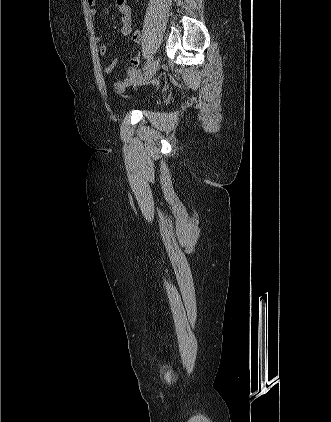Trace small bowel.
I'll use <instances>...</instances> for the list:
<instances>
[{
  "label": "small bowel",
  "instance_id": "1",
  "mask_svg": "<svg viewBox=\"0 0 331 422\" xmlns=\"http://www.w3.org/2000/svg\"><path fill=\"white\" fill-rule=\"evenodd\" d=\"M89 6V13L92 17H95L98 13L96 7V0H87ZM116 7L121 14V32L124 36H130L132 34V24H131V8L129 7L127 0H115ZM131 41L135 46H139L141 42V34L139 31H136L132 37ZM96 42L98 44V51L101 56H105L108 51L107 44L102 40L100 36H96ZM141 58L139 55H135L131 58L130 62L133 66L140 64ZM118 60L115 58L108 63L105 67V72L107 74L112 73L115 69ZM139 83V77L134 74L126 76L123 80L115 81L112 83V89L115 93H123L129 86H134Z\"/></svg>",
  "mask_w": 331,
  "mask_h": 422
}]
</instances>
